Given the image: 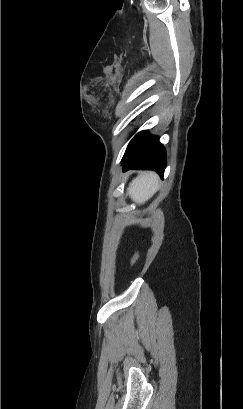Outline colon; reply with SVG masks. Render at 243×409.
Listing matches in <instances>:
<instances>
[{"mask_svg":"<svg viewBox=\"0 0 243 409\" xmlns=\"http://www.w3.org/2000/svg\"><path fill=\"white\" fill-rule=\"evenodd\" d=\"M138 257H139V252L136 250L132 255L131 262L135 263L138 260Z\"/></svg>","mask_w":243,"mask_h":409,"instance_id":"1","label":"colon"}]
</instances>
